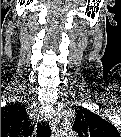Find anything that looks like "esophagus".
Wrapping results in <instances>:
<instances>
[{
	"instance_id": "1",
	"label": "esophagus",
	"mask_w": 121,
	"mask_h": 137,
	"mask_svg": "<svg viewBox=\"0 0 121 137\" xmlns=\"http://www.w3.org/2000/svg\"><path fill=\"white\" fill-rule=\"evenodd\" d=\"M49 123H50L52 131H55V123L51 120V117H50Z\"/></svg>"
}]
</instances>
